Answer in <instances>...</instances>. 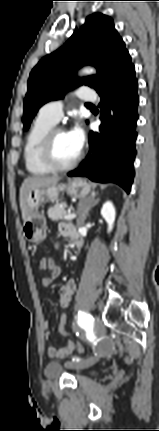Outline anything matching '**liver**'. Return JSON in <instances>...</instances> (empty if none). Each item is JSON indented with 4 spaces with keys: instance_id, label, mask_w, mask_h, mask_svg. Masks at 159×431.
I'll return each instance as SVG.
<instances>
[{
    "instance_id": "obj_1",
    "label": "liver",
    "mask_w": 159,
    "mask_h": 431,
    "mask_svg": "<svg viewBox=\"0 0 159 431\" xmlns=\"http://www.w3.org/2000/svg\"><path fill=\"white\" fill-rule=\"evenodd\" d=\"M60 180L59 177H44V176H33V177H27L21 187H20V208L22 212V218L25 222L28 216V209H27V196L28 193L36 188L44 187L47 185H50L52 183H57Z\"/></svg>"
}]
</instances>
